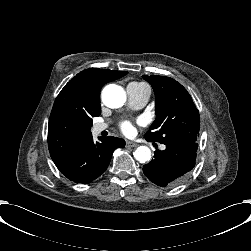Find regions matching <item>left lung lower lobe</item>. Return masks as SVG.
I'll return each mask as SVG.
<instances>
[{"label":"left lung lower lobe","mask_w":251,"mask_h":251,"mask_svg":"<svg viewBox=\"0 0 251 251\" xmlns=\"http://www.w3.org/2000/svg\"><path fill=\"white\" fill-rule=\"evenodd\" d=\"M197 148L196 142L166 144L165 150L156 151L154 159L143 166V172L158 186H175L194 168Z\"/></svg>","instance_id":"left-lung-lower-lobe-1"}]
</instances>
